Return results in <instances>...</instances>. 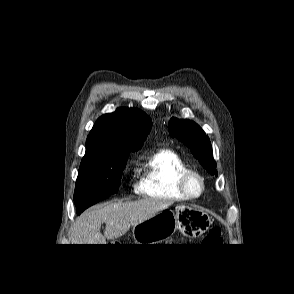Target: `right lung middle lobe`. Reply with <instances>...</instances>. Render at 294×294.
I'll return each mask as SVG.
<instances>
[{
	"label": "right lung middle lobe",
	"instance_id": "dd1d6c3e",
	"mask_svg": "<svg viewBox=\"0 0 294 294\" xmlns=\"http://www.w3.org/2000/svg\"><path fill=\"white\" fill-rule=\"evenodd\" d=\"M130 152H86L76 181L74 201L77 210L117 193Z\"/></svg>",
	"mask_w": 294,
	"mask_h": 294
}]
</instances>
